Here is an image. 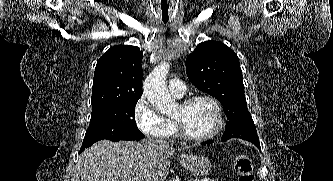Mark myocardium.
Returning <instances> with one entry per match:
<instances>
[{"label": "myocardium", "instance_id": "f54148a6", "mask_svg": "<svg viewBox=\"0 0 333 181\" xmlns=\"http://www.w3.org/2000/svg\"><path fill=\"white\" fill-rule=\"evenodd\" d=\"M198 100L208 101L215 110L216 124H215V127L210 132H208L204 135H193L186 130V128L184 127L183 123L180 120H178L176 118H174V120H175V122L178 126V129H179V132L183 138L190 140V141L201 142V141H206V140H209V139L215 137L221 131L224 120H223L222 107H221L219 101L211 95H207V94L193 95V96L187 97L184 100H182L179 105L182 107H187L190 104H192Z\"/></svg>", "mask_w": 333, "mask_h": 181}]
</instances>
